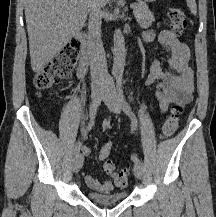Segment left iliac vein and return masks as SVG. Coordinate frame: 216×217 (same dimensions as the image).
I'll return each instance as SVG.
<instances>
[{
    "label": "left iliac vein",
    "instance_id": "1",
    "mask_svg": "<svg viewBox=\"0 0 216 217\" xmlns=\"http://www.w3.org/2000/svg\"><path fill=\"white\" fill-rule=\"evenodd\" d=\"M103 101L107 105V107L114 113L118 114L121 111V103L119 100V97L117 95V92L115 90V87L112 82H110L104 90L103 94ZM133 171L135 176L138 179L142 178L143 174V167L140 163H135L133 167Z\"/></svg>",
    "mask_w": 216,
    "mask_h": 217
}]
</instances>
